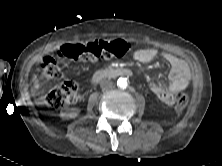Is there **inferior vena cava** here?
<instances>
[{
	"label": "inferior vena cava",
	"mask_w": 222,
	"mask_h": 166,
	"mask_svg": "<svg viewBox=\"0 0 222 166\" xmlns=\"http://www.w3.org/2000/svg\"><path fill=\"white\" fill-rule=\"evenodd\" d=\"M112 85H113V82L110 79H103L100 82V86L103 89H110V88H112Z\"/></svg>",
	"instance_id": "inferior-vena-cava-1"
}]
</instances>
